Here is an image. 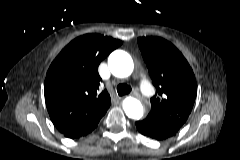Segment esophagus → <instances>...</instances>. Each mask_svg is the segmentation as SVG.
Instances as JSON below:
<instances>
[{"label":"esophagus","mask_w":240,"mask_h":160,"mask_svg":"<svg viewBox=\"0 0 240 160\" xmlns=\"http://www.w3.org/2000/svg\"><path fill=\"white\" fill-rule=\"evenodd\" d=\"M131 96H133V97H140V94H139L138 91H134V92L131 93Z\"/></svg>","instance_id":"1"}]
</instances>
